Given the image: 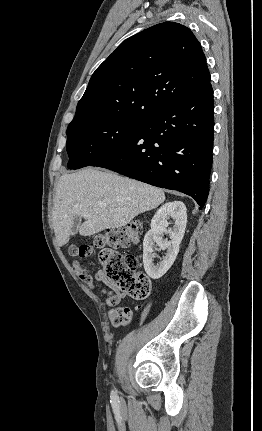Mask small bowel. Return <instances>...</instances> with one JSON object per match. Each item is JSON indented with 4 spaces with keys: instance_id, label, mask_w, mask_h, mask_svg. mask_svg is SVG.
Returning <instances> with one entry per match:
<instances>
[{
    "instance_id": "obj_1",
    "label": "small bowel",
    "mask_w": 262,
    "mask_h": 431,
    "mask_svg": "<svg viewBox=\"0 0 262 431\" xmlns=\"http://www.w3.org/2000/svg\"><path fill=\"white\" fill-rule=\"evenodd\" d=\"M80 277L82 279V281L89 287H95L96 285V281L95 279L89 275L87 272L80 274ZM103 293L105 294V303L108 307L111 308L110 314L111 316L116 313L118 310L123 309L120 308L119 305L122 301V299L124 298L123 293L115 290V289H111V290H106L103 289Z\"/></svg>"
}]
</instances>
